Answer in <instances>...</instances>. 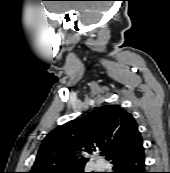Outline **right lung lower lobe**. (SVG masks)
I'll return each mask as SVG.
<instances>
[{"label": "right lung lower lobe", "instance_id": "98d812e1", "mask_svg": "<svg viewBox=\"0 0 170 173\" xmlns=\"http://www.w3.org/2000/svg\"><path fill=\"white\" fill-rule=\"evenodd\" d=\"M113 173H147L145 171L144 148L142 144L111 161Z\"/></svg>", "mask_w": 170, "mask_h": 173}]
</instances>
